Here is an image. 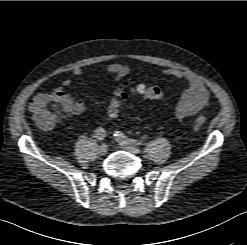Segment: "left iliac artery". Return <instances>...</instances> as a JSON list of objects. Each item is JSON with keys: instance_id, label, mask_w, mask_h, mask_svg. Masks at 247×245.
Here are the masks:
<instances>
[{"instance_id": "1", "label": "left iliac artery", "mask_w": 247, "mask_h": 245, "mask_svg": "<svg viewBox=\"0 0 247 245\" xmlns=\"http://www.w3.org/2000/svg\"><path fill=\"white\" fill-rule=\"evenodd\" d=\"M114 136L119 141L127 142V143H130V144H135V145H142L143 144V141H141V140L139 141L137 139L128 138L125 134H123L120 131H115Z\"/></svg>"}]
</instances>
